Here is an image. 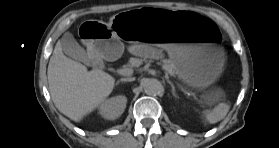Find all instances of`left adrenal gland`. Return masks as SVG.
<instances>
[{"instance_id":"1","label":"left adrenal gland","mask_w":279,"mask_h":148,"mask_svg":"<svg viewBox=\"0 0 279 148\" xmlns=\"http://www.w3.org/2000/svg\"><path fill=\"white\" fill-rule=\"evenodd\" d=\"M168 83L171 85V88H172V95H173L175 98H177L176 91H175V87H174L173 83L170 82V81H168Z\"/></svg>"}]
</instances>
